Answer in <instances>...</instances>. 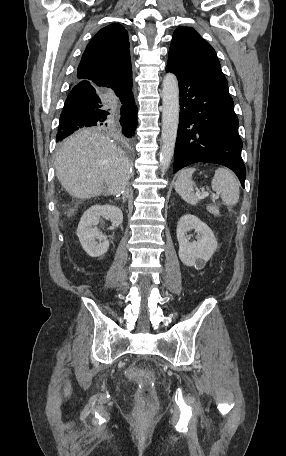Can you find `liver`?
<instances>
[{
	"label": "liver",
	"mask_w": 286,
	"mask_h": 456,
	"mask_svg": "<svg viewBox=\"0 0 286 456\" xmlns=\"http://www.w3.org/2000/svg\"><path fill=\"white\" fill-rule=\"evenodd\" d=\"M56 176L69 195L78 199L120 194L128 185L129 160L111 140L90 130L66 140L55 158Z\"/></svg>",
	"instance_id": "obj_1"
}]
</instances>
